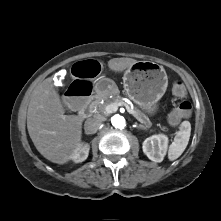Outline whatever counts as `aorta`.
I'll use <instances>...</instances> for the list:
<instances>
[{"label":"aorta","mask_w":221,"mask_h":221,"mask_svg":"<svg viewBox=\"0 0 221 221\" xmlns=\"http://www.w3.org/2000/svg\"><path fill=\"white\" fill-rule=\"evenodd\" d=\"M111 122H112V125L115 127V128H124L125 127V118L123 116H120V115H114L112 118H111Z\"/></svg>","instance_id":"aorta-1"}]
</instances>
